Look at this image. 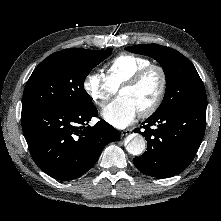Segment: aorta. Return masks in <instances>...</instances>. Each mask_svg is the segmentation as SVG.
I'll use <instances>...</instances> for the list:
<instances>
[{
	"instance_id": "obj_1",
	"label": "aorta",
	"mask_w": 221,
	"mask_h": 221,
	"mask_svg": "<svg viewBox=\"0 0 221 221\" xmlns=\"http://www.w3.org/2000/svg\"><path fill=\"white\" fill-rule=\"evenodd\" d=\"M127 151L132 155H141L146 149V140L140 135L136 134L132 137L130 142L126 146Z\"/></svg>"
}]
</instances>
